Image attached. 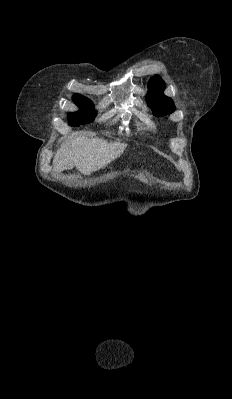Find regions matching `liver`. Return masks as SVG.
<instances>
[{"label": "liver", "mask_w": 232, "mask_h": 399, "mask_svg": "<svg viewBox=\"0 0 232 399\" xmlns=\"http://www.w3.org/2000/svg\"><path fill=\"white\" fill-rule=\"evenodd\" d=\"M79 134L81 132L72 134L71 140H64L61 148L57 150L53 158L54 172L72 170L76 166L81 174L90 176L92 172L106 168L108 164L117 160L127 146L121 142H106Z\"/></svg>", "instance_id": "1"}]
</instances>
